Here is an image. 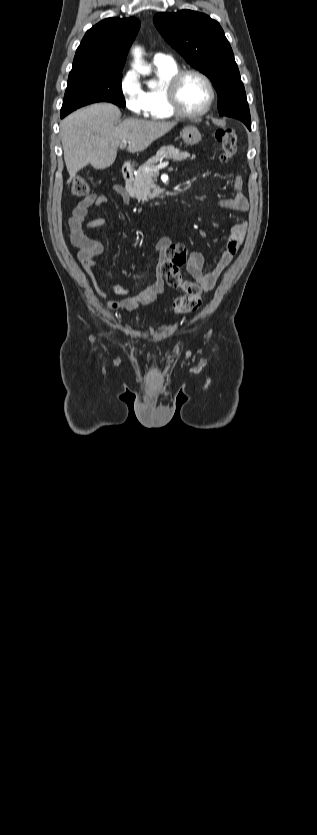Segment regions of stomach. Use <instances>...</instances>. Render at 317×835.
I'll use <instances>...</instances> for the list:
<instances>
[{"instance_id": "1", "label": "stomach", "mask_w": 317, "mask_h": 835, "mask_svg": "<svg viewBox=\"0 0 317 835\" xmlns=\"http://www.w3.org/2000/svg\"><path fill=\"white\" fill-rule=\"evenodd\" d=\"M181 135L183 141L191 146L196 145L201 141V133L193 125L185 126L181 132Z\"/></svg>"}]
</instances>
